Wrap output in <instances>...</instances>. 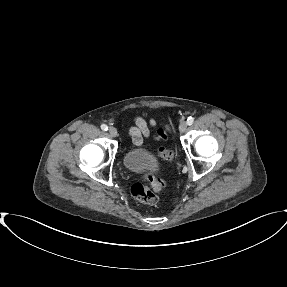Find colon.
I'll list each match as a JSON object with an SVG mask.
<instances>
[{"instance_id": "1", "label": "colon", "mask_w": 287, "mask_h": 287, "mask_svg": "<svg viewBox=\"0 0 287 287\" xmlns=\"http://www.w3.org/2000/svg\"><path fill=\"white\" fill-rule=\"evenodd\" d=\"M169 127L160 128L157 131L156 139L164 141L167 139ZM158 155L165 159L171 160L173 153L164 148L159 149ZM166 182L162 178H155L150 173L141 175L140 180L131 186V195L135 200L142 204H155L158 201L157 193L165 190Z\"/></svg>"}]
</instances>
